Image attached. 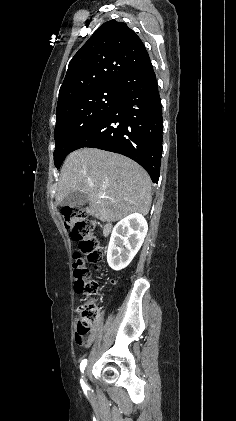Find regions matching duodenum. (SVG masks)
Masks as SVG:
<instances>
[{"label":"duodenum","instance_id":"1","mask_svg":"<svg viewBox=\"0 0 236 421\" xmlns=\"http://www.w3.org/2000/svg\"><path fill=\"white\" fill-rule=\"evenodd\" d=\"M111 228H112L111 224L107 223V224L103 227V234H104L105 236H107V235L110 233Z\"/></svg>","mask_w":236,"mask_h":421}]
</instances>
